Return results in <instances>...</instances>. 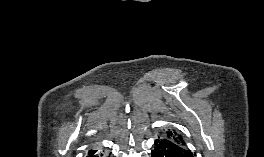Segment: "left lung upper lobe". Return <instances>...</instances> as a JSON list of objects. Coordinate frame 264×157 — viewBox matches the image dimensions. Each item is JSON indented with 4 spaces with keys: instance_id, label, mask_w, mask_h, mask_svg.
Masks as SVG:
<instances>
[{
    "instance_id": "5c2ea615",
    "label": "left lung upper lobe",
    "mask_w": 264,
    "mask_h": 157,
    "mask_svg": "<svg viewBox=\"0 0 264 157\" xmlns=\"http://www.w3.org/2000/svg\"><path fill=\"white\" fill-rule=\"evenodd\" d=\"M162 138L170 140L177 144L187 155L193 156L192 152L186 148L185 141L181 135L174 131L167 130L162 133Z\"/></svg>"
}]
</instances>
